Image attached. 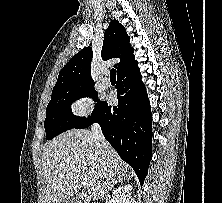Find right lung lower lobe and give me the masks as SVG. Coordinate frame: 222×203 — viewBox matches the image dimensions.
Masks as SVG:
<instances>
[{
	"mask_svg": "<svg viewBox=\"0 0 222 203\" xmlns=\"http://www.w3.org/2000/svg\"><path fill=\"white\" fill-rule=\"evenodd\" d=\"M118 105L106 101L74 128L99 123L107 141L135 171L143 185L152 156V114L137 64L117 74Z\"/></svg>",
	"mask_w": 222,
	"mask_h": 203,
	"instance_id": "right-lung-lower-lobe-1",
	"label": "right lung lower lobe"
}]
</instances>
